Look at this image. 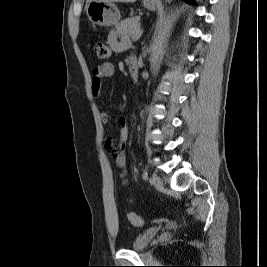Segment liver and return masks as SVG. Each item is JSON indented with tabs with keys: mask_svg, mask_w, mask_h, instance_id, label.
Segmentation results:
<instances>
[{
	"mask_svg": "<svg viewBox=\"0 0 267 267\" xmlns=\"http://www.w3.org/2000/svg\"><path fill=\"white\" fill-rule=\"evenodd\" d=\"M90 1H92V0H87V2H90ZM104 1H107V2H120V3H134L137 0H104Z\"/></svg>",
	"mask_w": 267,
	"mask_h": 267,
	"instance_id": "obj_1",
	"label": "liver"
}]
</instances>
